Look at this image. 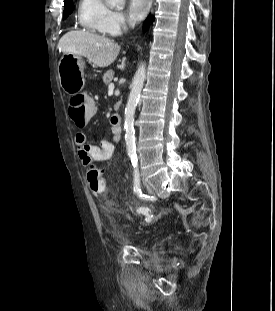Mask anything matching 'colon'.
Listing matches in <instances>:
<instances>
[{
  "label": "colon",
  "instance_id": "colon-1",
  "mask_svg": "<svg viewBox=\"0 0 275 311\" xmlns=\"http://www.w3.org/2000/svg\"><path fill=\"white\" fill-rule=\"evenodd\" d=\"M96 107L97 102L94 101L93 97H83L81 95L72 97L68 103V110L74 120V129H87L91 117L97 116ZM87 181L93 193L101 194L105 191V181L98 167L94 165L88 167Z\"/></svg>",
  "mask_w": 275,
  "mask_h": 311
}]
</instances>
